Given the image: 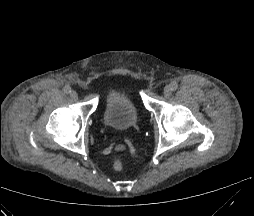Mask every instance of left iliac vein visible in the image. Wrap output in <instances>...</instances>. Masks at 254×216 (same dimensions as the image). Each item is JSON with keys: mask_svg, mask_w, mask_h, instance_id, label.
<instances>
[{"mask_svg": "<svg viewBox=\"0 0 254 216\" xmlns=\"http://www.w3.org/2000/svg\"><path fill=\"white\" fill-rule=\"evenodd\" d=\"M163 94L164 96L168 97L171 95V89L169 86H165L164 89H163Z\"/></svg>", "mask_w": 254, "mask_h": 216, "instance_id": "1", "label": "left iliac vein"}]
</instances>
